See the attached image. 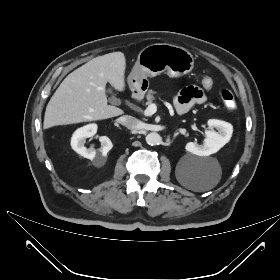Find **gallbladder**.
I'll list each match as a JSON object with an SVG mask.
<instances>
[{
	"mask_svg": "<svg viewBox=\"0 0 280 280\" xmlns=\"http://www.w3.org/2000/svg\"><path fill=\"white\" fill-rule=\"evenodd\" d=\"M108 93L110 95V97H109L110 103L118 104L120 100L115 96V94L113 93V90L111 88L108 89Z\"/></svg>",
	"mask_w": 280,
	"mask_h": 280,
	"instance_id": "gallbladder-1",
	"label": "gallbladder"
}]
</instances>
